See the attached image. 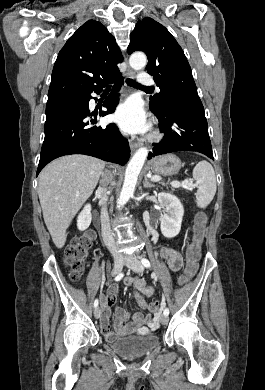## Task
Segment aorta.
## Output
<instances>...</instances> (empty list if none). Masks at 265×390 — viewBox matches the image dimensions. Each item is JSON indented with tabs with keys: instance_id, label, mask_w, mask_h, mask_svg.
<instances>
[{
	"instance_id": "aorta-1",
	"label": "aorta",
	"mask_w": 265,
	"mask_h": 390,
	"mask_svg": "<svg viewBox=\"0 0 265 390\" xmlns=\"http://www.w3.org/2000/svg\"><path fill=\"white\" fill-rule=\"evenodd\" d=\"M129 64L134 70H141L147 64V58L144 53L136 52L130 56ZM148 156L146 147L139 148L131 158L125 172L123 187L118 199V207L124 206L133 196L138 175Z\"/></svg>"
}]
</instances>
